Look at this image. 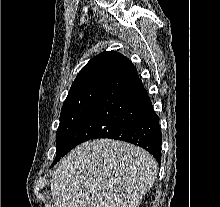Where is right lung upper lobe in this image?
I'll list each match as a JSON object with an SVG mask.
<instances>
[{
	"mask_svg": "<svg viewBox=\"0 0 220 207\" xmlns=\"http://www.w3.org/2000/svg\"><path fill=\"white\" fill-rule=\"evenodd\" d=\"M132 62L115 51H104L90 59L71 85L70 91L95 81H105L115 73L132 66Z\"/></svg>",
	"mask_w": 220,
	"mask_h": 207,
	"instance_id": "1",
	"label": "right lung upper lobe"
}]
</instances>
